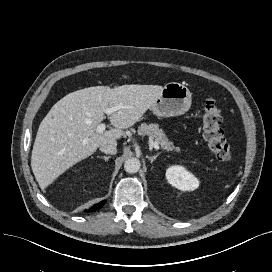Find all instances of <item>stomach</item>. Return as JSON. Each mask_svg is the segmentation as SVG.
<instances>
[{"label": "stomach", "instance_id": "stomach-1", "mask_svg": "<svg viewBox=\"0 0 272 272\" xmlns=\"http://www.w3.org/2000/svg\"><path fill=\"white\" fill-rule=\"evenodd\" d=\"M192 93L184 84L167 83L150 110L158 117H171L184 114L190 109Z\"/></svg>", "mask_w": 272, "mask_h": 272}]
</instances>
